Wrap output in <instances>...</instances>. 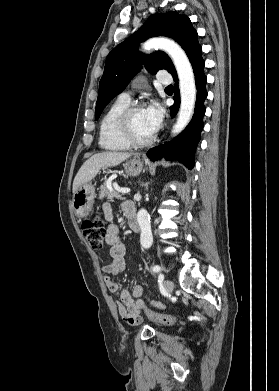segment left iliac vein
<instances>
[{"mask_svg":"<svg viewBox=\"0 0 279 391\" xmlns=\"http://www.w3.org/2000/svg\"><path fill=\"white\" fill-rule=\"evenodd\" d=\"M164 287H165V289H166V291H167L168 293H172V291H173V289H174V283H173L171 280L166 279V280L164 281Z\"/></svg>","mask_w":279,"mask_h":391,"instance_id":"left-iliac-vein-1","label":"left iliac vein"}]
</instances>
